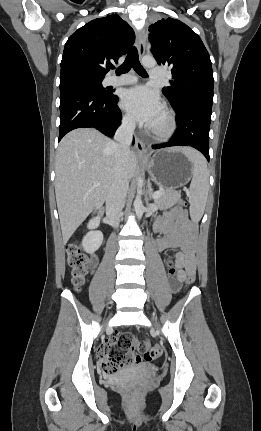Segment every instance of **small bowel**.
<instances>
[{"label":"small bowel","instance_id":"obj_1","mask_svg":"<svg viewBox=\"0 0 261 431\" xmlns=\"http://www.w3.org/2000/svg\"><path fill=\"white\" fill-rule=\"evenodd\" d=\"M154 229L161 237L156 241V248L164 251L173 247H181L175 255V261L168 264L171 287L178 290L179 285L190 273L195 274V239L196 226L188 219L187 212L181 207H173L168 212L159 216L154 224ZM98 258L93 256L90 266L95 267ZM151 342L141 345L139 353L147 355Z\"/></svg>","mask_w":261,"mask_h":431}]
</instances>
